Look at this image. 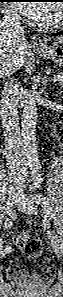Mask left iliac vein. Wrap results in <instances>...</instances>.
Listing matches in <instances>:
<instances>
[{
	"instance_id": "4c4485c4",
	"label": "left iliac vein",
	"mask_w": 63,
	"mask_h": 297,
	"mask_svg": "<svg viewBox=\"0 0 63 297\" xmlns=\"http://www.w3.org/2000/svg\"><path fill=\"white\" fill-rule=\"evenodd\" d=\"M16 204L18 209L25 213H28L30 215L37 214V207L30 200H28L24 195H18ZM53 239H54L53 248L56 254L60 255L62 251V244L60 240L57 239L54 235H53Z\"/></svg>"
}]
</instances>
